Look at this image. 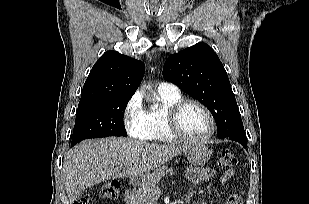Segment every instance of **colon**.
I'll list each match as a JSON object with an SVG mask.
<instances>
[{
	"mask_svg": "<svg viewBox=\"0 0 309 204\" xmlns=\"http://www.w3.org/2000/svg\"><path fill=\"white\" fill-rule=\"evenodd\" d=\"M237 164V159L230 149H224L219 154L218 166L220 168H230ZM120 186L117 182H106L100 191V196L104 200H114L118 198ZM73 204H91L88 196L82 197L74 201Z\"/></svg>",
	"mask_w": 309,
	"mask_h": 204,
	"instance_id": "obj_1",
	"label": "colon"
}]
</instances>
